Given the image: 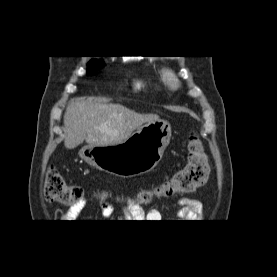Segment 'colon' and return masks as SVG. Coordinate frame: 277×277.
Masks as SVG:
<instances>
[{
    "label": "colon",
    "mask_w": 277,
    "mask_h": 277,
    "mask_svg": "<svg viewBox=\"0 0 277 277\" xmlns=\"http://www.w3.org/2000/svg\"><path fill=\"white\" fill-rule=\"evenodd\" d=\"M187 150L185 166L154 192L138 191L135 196L137 203H148L155 194L171 196L177 193H191L206 182L209 174L208 159L203 142L196 133H191ZM43 193L47 201L68 206H73L85 198L84 190L80 186L67 184L62 174L55 168H50L46 173Z\"/></svg>",
    "instance_id": "obj_1"
}]
</instances>
